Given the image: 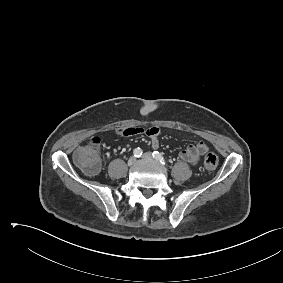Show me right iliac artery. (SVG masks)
I'll list each match as a JSON object with an SVG mask.
<instances>
[{
    "mask_svg": "<svg viewBox=\"0 0 283 283\" xmlns=\"http://www.w3.org/2000/svg\"><path fill=\"white\" fill-rule=\"evenodd\" d=\"M142 153L143 152H142V150L140 148H136L133 151L134 156L137 157V158L141 157Z\"/></svg>",
    "mask_w": 283,
    "mask_h": 283,
    "instance_id": "obj_1",
    "label": "right iliac artery"
}]
</instances>
